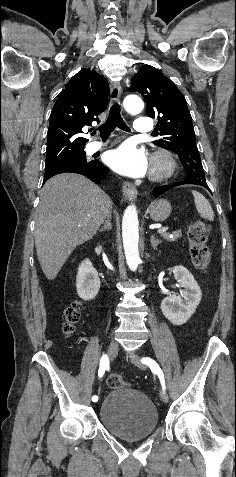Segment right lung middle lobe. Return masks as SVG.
I'll list each match as a JSON object with an SVG mask.
<instances>
[{"mask_svg": "<svg viewBox=\"0 0 236 477\" xmlns=\"http://www.w3.org/2000/svg\"><path fill=\"white\" fill-rule=\"evenodd\" d=\"M93 161L87 160L86 153L82 151L63 160L50 164H45V171H49L51 169L67 168L72 166H86L93 163Z\"/></svg>", "mask_w": 236, "mask_h": 477, "instance_id": "dd1d6c3e", "label": "right lung middle lobe"}]
</instances>
